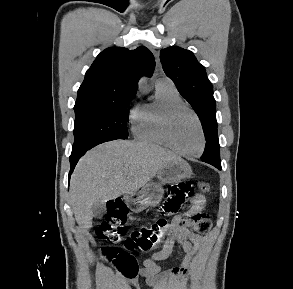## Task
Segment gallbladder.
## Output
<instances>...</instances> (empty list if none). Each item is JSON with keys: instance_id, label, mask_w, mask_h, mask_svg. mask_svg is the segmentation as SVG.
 Listing matches in <instances>:
<instances>
[{"instance_id": "obj_1", "label": "gallbladder", "mask_w": 293, "mask_h": 289, "mask_svg": "<svg viewBox=\"0 0 293 289\" xmlns=\"http://www.w3.org/2000/svg\"><path fill=\"white\" fill-rule=\"evenodd\" d=\"M106 211V205L105 202L98 200L96 201L92 206V213L93 216L96 218H101Z\"/></svg>"}]
</instances>
